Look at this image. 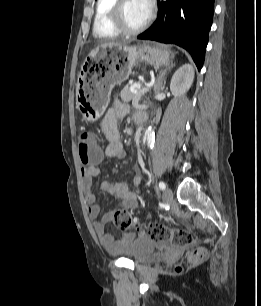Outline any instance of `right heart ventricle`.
<instances>
[{"label": "right heart ventricle", "mask_w": 261, "mask_h": 306, "mask_svg": "<svg viewBox=\"0 0 261 306\" xmlns=\"http://www.w3.org/2000/svg\"><path fill=\"white\" fill-rule=\"evenodd\" d=\"M116 0H97L94 19L93 35L101 39H114L122 33L113 25L111 10Z\"/></svg>", "instance_id": "e07e8e85"}]
</instances>
